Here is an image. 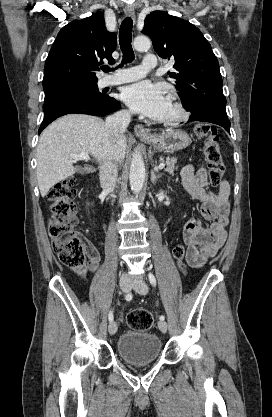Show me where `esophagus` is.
<instances>
[{
    "instance_id": "34e87169",
    "label": "esophagus",
    "mask_w": 272,
    "mask_h": 417,
    "mask_svg": "<svg viewBox=\"0 0 272 417\" xmlns=\"http://www.w3.org/2000/svg\"><path fill=\"white\" fill-rule=\"evenodd\" d=\"M124 13L126 16L135 19V10L132 6L128 5L124 9ZM134 132L137 136H151L148 130H146L142 125L136 124L134 127Z\"/></svg>"
}]
</instances>
